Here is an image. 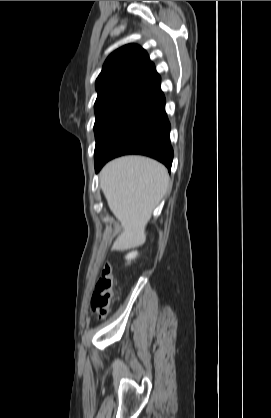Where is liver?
Returning <instances> with one entry per match:
<instances>
[{
    "label": "liver",
    "instance_id": "6515ba94",
    "mask_svg": "<svg viewBox=\"0 0 271 418\" xmlns=\"http://www.w3.org/2000/svg\"><path fill=\"white\" fill-rule=\"evenodd\" d=\"M168 184L165 166L150 158L125 156L104 166L100 187L123 228L113 249L127 250L145 242L146 225L166 194Z\"/></svg>",
    "mask_w": 271,
    "mask_h": 418
}]
</instances>
